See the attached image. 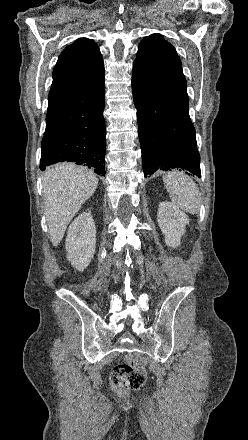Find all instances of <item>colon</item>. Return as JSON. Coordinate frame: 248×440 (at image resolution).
I'll use <instances>...</instances> for the list:
<instances>
[{
	"label": "colon",
	"mask_w": 248,
	"mask_h": 440,
	"mask_svg": "<svg viewBox=\"0 0 248 440\" xmlns=\"http://www.w3.org/2000/svg\"><path fill=\"white\" fill-rule=\"evenodd\" d=\"M147 380L142 364L132 355H128L125 362L116 365L110 374L113 389L118 393L141 389Z\"/></svg>",
	"instance_id": "5ec220e1"
}]
</instances>
